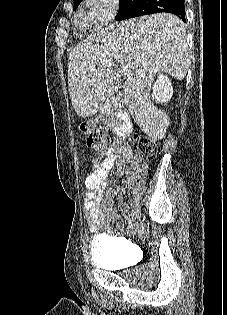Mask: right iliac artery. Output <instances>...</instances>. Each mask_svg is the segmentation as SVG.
I'll list each match as a JSON object with an SVG mask.
<instances>
[{
    "label": "right iliac artery",
    "instance_id": "1",
    "mask_svg": "<svg viewBox=\"0 0 227 315\" xmlns=\"http://www.w3.org/2000/svg\"><path fill=\"white\" fill-rule=\"evenodd\" d=\"M139 205V202H138V200L136 199L135 201H134V207H137Z\"/></svg>",
    "mask_w": 227,
    "mask_h": 315
}]
</instances>
